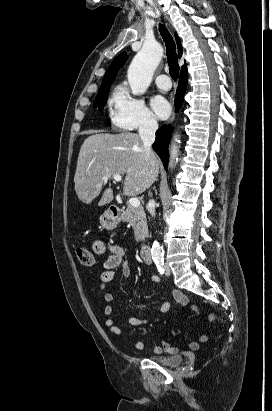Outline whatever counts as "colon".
<instances>
[{
  "instance_id": "obj_1",
  "label": "colon",
  "mask_w": 272,
  "mask_h": 411,
  "mask_svg": "<svg viewBox=\"0 0 272 411\" xmlns=\"http://www.w3.org/2000/svg\"><path fill=\"white\" fill-rule=\"evenodd\" d=\"M76 254L79 262L85 266H93L94 265V256L90 250L84 247H78L76 249ZM210 320L214 319L215 317L211 315Z\"/></svg>"
}]
</instances>
